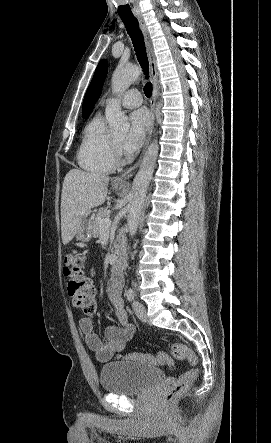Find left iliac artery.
<instances>
[{"label": "left iliac artery", "mask_w": 271, "mask_h": 443, "mask_svg": "<svg viewBox=\"0 0 271 443\" xmlns=\"http://www.w3.org/2000/svg\"><path fill=\"white\" fill-rule=\"evenodd\" d=\"M126 296L128 301H132L135 297V291L132 288H129L126 293Z\"/></svg>", "instance_id": "obj_1"}]
</instances>
